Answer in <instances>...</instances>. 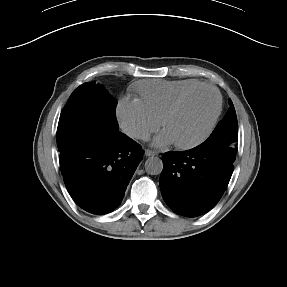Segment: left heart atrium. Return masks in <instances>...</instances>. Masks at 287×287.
I'll use <instances>...</instances> for the list:
<instances>
[{
  "instance_id": "1",
  "label": "left heart atrium",
  "mask_w": 287,
  "mask_h": 287,
  "mask_svg": "<svg viewBox=\"0 0 287 287\" xmlns=\"http://www.w3.org/2000/svg\"><path fill=\"white\" fill-rule=\"evenodd\" d=\"M174 143L173 138L170 136V134L164 130L161 132L155 139H154V144L159 147H164L167 145H170Z\"/></svg>"
}]
</instances>
